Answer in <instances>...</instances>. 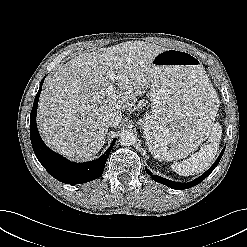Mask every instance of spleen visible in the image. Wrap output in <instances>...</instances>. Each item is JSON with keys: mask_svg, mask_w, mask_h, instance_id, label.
I'll return each instance as SVG.
<instances>
[{"mask_svg": "<svg viewBox=\"0 0 247 247\" xmlns=\"http://www.w3.org/2000/svg\"><path fill=\"white\" fill-rule=\"evenodd\" d=\"M222 127L216 122L212 124L208 134L209 143L202 145L200 150L193 154L190 158L172 164V169L181 176H189L202 173L206 170L214 160L219 150V142L221 140Z\"/></svg>", "mask_w": 247, "mask_h": 247, "instance_id": "spleen-1", "label": "spleen"}]
</instances>
